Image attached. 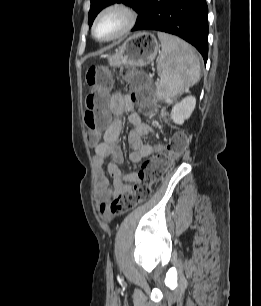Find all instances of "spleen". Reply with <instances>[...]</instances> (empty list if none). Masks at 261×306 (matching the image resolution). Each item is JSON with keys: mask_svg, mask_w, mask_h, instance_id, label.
<instances>
[{"mask_svg": "<svg viewBox=\"0 0 261 306\" xmlns=\"http://www.w3.org/2000/svg\"><path fill=\"white\" fill-rule=\"evenodd\" d=\"M162 51L157 66L159 99H171L187 92L200 79V61L193 48L181 39L157 33Z\"/></svg>", "mask_w": 261, "mask_h": 306, "instance_id": "3e777b00", "label": "spleen"}]
</instances>
